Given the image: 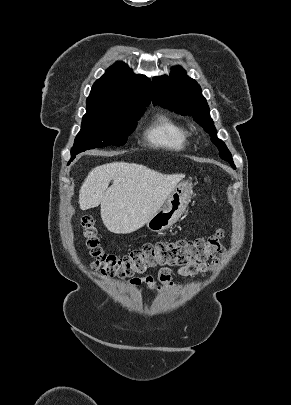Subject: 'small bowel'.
<instances>
[{
    "instance_id": "1",
    "label": "small bowel",
    "mask_w": 291,
    "mask_h": 405,
    "mask_svg": "<svg viewBox=\"0 0 291 405\" xmlns=\"http://www.w3.org/2000/svg\"><path fill=\"white\" fill-rule=\"evenodd\" d=\"M218 261L205 262V263H193L185 267L178 269V274L182 277H188L197 273H203L211 270ZM131 286L147 285L148 288L154 292H160L165 289H171L173 286L171 278V270L169 268H162L157 277L144 276L135 277L129 281Z\"/></svg>"
}]
</instances>
